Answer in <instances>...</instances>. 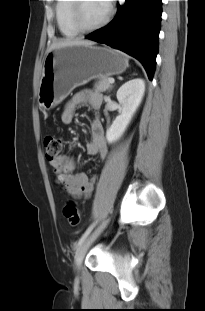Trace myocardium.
Returning a JSON list of instances; mask_svg holds the SVG:
<instances>
[{"label":"myocardium","mask_w":205,"mask_h":311,"mask_svg":"<svg viewBox=\"0 0 205 311\" xmlns=\"http://www.w3.org/2000/svg\"><path fill=\"white\" fill-rule=\"evenodd\" d=\"M85 0H73L72 6H71V20L74 24V26L83 33H88V32H94L102 29L105 27L111 17H112V9L110 6H108V12L105 16V18L98 24L94 26H86L84 24L82 15H81V9H82V4Z\"/></svg>","instance_id":"1"}]
</instances>
